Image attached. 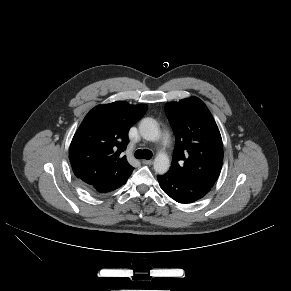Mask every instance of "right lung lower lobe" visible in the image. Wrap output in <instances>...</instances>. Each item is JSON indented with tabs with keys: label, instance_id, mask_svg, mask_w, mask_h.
<instances>
[{
	"label": "right lung lower lobe",
	"instance_id": "right-lung-lower-lobe-1",
	"mask_svg": "<svg viewBox=\"0 0 291 291\" xmlns=\"http://www.w3.org/2000/svg\"><path fill=\"white\" fill-rule=\"evenodd\" d=\"M128 178H120L117 174L108 173L89 184L83 183V186L92 194H105L125 184Z\"/></svg>",
	"mask_w": 291,
	"mask_h": 291
}]
</instances>
